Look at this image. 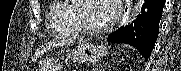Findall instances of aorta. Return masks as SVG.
<instances>
[{
	"mask_svg": "<svg viewBox=\"0 0 181 71\" xmlns=\"http://www.w3.org/2000/svg\"><path fill=\"white\" fill-rule=\"evenodd\" d=\"M144 1L143 0H136L133 7L129 11L127 16L126 24L132 23L139 14H141V10L143 7Z\"/></svg>",
	"mask_w": 181,
	"mask_h": 71,
	"instance_id": "aorta-1",
	"label": "aorta"
}]
</instances>
